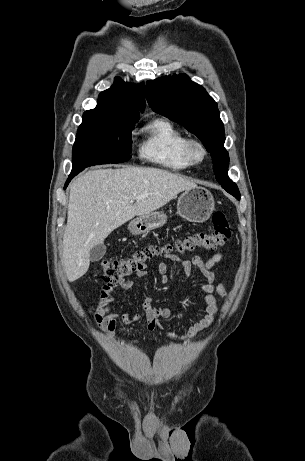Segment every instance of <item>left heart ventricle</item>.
I'll use <instances>...</instances> for the list:
<instances>
[{
  "label": "left heart ventricle",
  "instance_id": "1",
  "mask_svg": "<svg viewBox=\"0 0 305 461\" xmlns=\"http://www.w3.org/2000/svg\"><path fill=\"white\" fill-rule=\"evenodd\" d=\"M196 153H197V154H199V151H198V150H196Z\"/></svg>",
  "mask_w": 305,
  "mask_h": 461
}]
</instances>
